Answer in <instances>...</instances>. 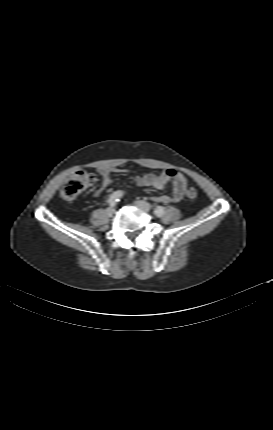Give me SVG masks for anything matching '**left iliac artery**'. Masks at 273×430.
Masks as SVG:
<instances>
[{
    "mask_svg": "<svg viewBox=\"0 0 273 430\" xmlns=\"http://www.w3.org/2000/svg\"><path fill=\"white\" fill-rule=\"evenodd\" d=\"M154 214H155L157 217H162V216H163V214H164V208H163L162 206H158L157 208H155V210H154Z\"/></svg>",
    "mask_w": 273,
    "mask_h": 430,
    "instance_id": "1",
    "label": "left iliac artery"
}]
</instances>
